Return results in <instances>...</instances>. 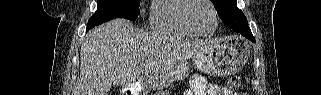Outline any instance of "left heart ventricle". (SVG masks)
Segmentation results:
<instances>
[{
  "label": "left heart ventricle",
  "instance_id": "1",
  "mask_svg": "<svg viewBox=\"0 0 321 95\" xmlns=\"http://www.w3.org/2000/svg\"><path fill=\"white\" fill-rule=\"evenodd\" d=\"M192 19L203 32H210L214 27V18L211 8L205 3H197L192 12Z\"/></svg>",
  "mask_w": 321,
  "mask_h": 95
}]
</instances>
